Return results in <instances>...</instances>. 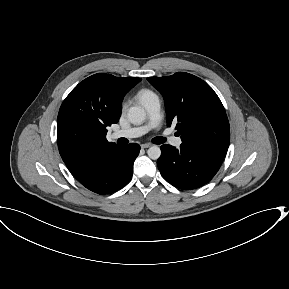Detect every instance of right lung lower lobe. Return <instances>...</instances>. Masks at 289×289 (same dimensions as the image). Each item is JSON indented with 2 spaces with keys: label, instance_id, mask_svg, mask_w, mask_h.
I'll return each mask as SVG.
<instances>
[{
  "label": "right lung lower lobe",
  "instance_id": "obj_1",
  "mask_svg": "<svg viewBox=\"0 0 289 289\" xmlns=\"http://www.w3.org/2000/svg\"><path fill=\"white\" fill-rule=\"evenodd\" d=\"M139 151L140 146L135 143L119 146L100 158L89 173L77 180L97 194L113 193L130 182Z\"/></svg>",
  "mask_w": 289,
  "mask_h": 289
}]
</instances>
